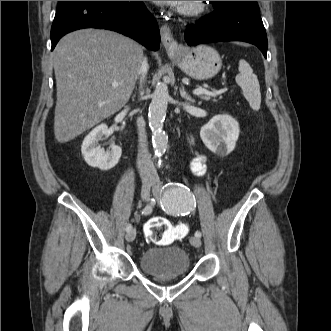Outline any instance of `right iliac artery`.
Listing matches in <instances>:
<instances>
[{
	"mask_svg": "<svg viewBox=\"0 0 331 331\" xmlns=\"http://www.w3.org/2000/svg\"><path fill=\"white\" fill-rule=\"evenodd\" d=\"M151 211H152L151 206H150V205H146L145 208L142 210V214H144V215H148V214L151 213ZM131 229H132L131 224H127V225H126V231L128 232V231H130Z\"/></svg>",
	"mask_w": 331,
	"mask_h": 331,
	"instance_id": "82829eb1",
	"label": "right iliac artery"
}]
</instances>
